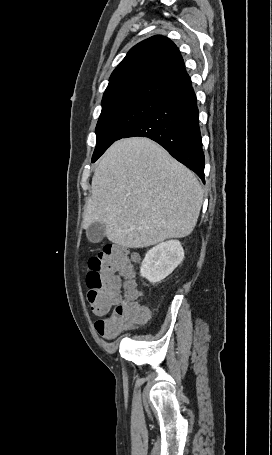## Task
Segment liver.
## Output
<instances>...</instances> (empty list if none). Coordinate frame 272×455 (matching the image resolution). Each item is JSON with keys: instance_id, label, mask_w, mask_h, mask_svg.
Instances as JSON below:
<instances>
[{"instance_id": "obj_1", "label": "liver", "mask_w": 272, "mask_h": 455, "mask_svg": "<svg viewBox=\"0 0 272 455\" xmlns=\"http://www.w3.org/2000/svg\"><path fill=\"white\" fill-rule=\"evenodd\" d=\"M203 189L195 174L154 141L115 142L92 178L83 226L105 225L108 240L143 248L188 236L196 226Z\"/></svg>"}]
</instances>
